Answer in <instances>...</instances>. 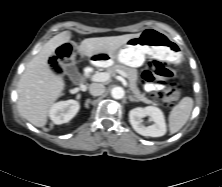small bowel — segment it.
Wrapping results in <instances>:
<instances>
[{"mask_svg":"<svg viewBox=\"0 0 222 187\" xmlns=\"http://www.w3.org/2000/svg\"><path fill=\"white\" fill-rule=\"evenodd\" d=\"M159 87H160L159 85L154 84V83H146L144 85V88H145L146 91H152V90H155V89H157Z\"/></svg>","mask_w":222,"mask_h":187,"instance_id":"obj_1","label":"small bowel"}]
</instances>
